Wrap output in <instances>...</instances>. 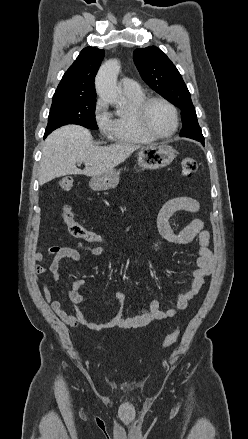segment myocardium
I'll use <instances>...</instances> for the list:
<instances>
[{
    "mask_svg": "<svg viewBox=\"0 0 248 439\" xmlns=\"http://www.w3.org/2000/svg\"><path fill=\"white\" fill-rule=\"evenodd\" d=\"M153 102H161V103L165 104L172 112L173 119H174V126H173V129L167 134L156 133L155 131H153L150 128V126L147 122V110H148V107ZM135 115H136L137 122H138L139 126L141 127V129L146 134L153 137L154 139H167V138L172 137L176 133L178 126H179V116H178V111H177L176 107L174 106L173 103H171L169 100H167L163 97H159V96L145 97L137 106Z\"/></svg>",
    "mask_w": 248,
    "mask_h": 439,
    "instance_id": "1",
    "label": "myocardium"
}]
</instances>
